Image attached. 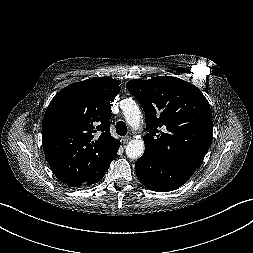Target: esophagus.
Instances as JSON below:
<instances>
[{
  "mask_svg": "<svg viewBox=\"0 0 253 253\" xmlns=\"http://www.w3.org/2000/svg\"><path fill=\"white\" fill-rule=\"evenodd\" d=\"M130 139H131L130 136H124V137L122 138V141H123L124 144H127V143L130 141Z\"/></svg>",
  "mask_w": 253,
  "mask_h": 253,
  "instance_id": "1",
  "label": "esophagus"
}]
</instances>
